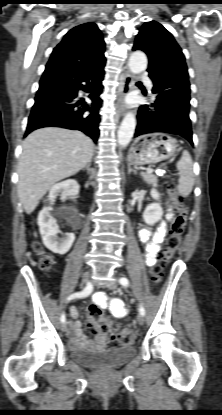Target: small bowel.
<instances>
[{
    "label": "small bowel",
    "mask_w": 222,
    "mask_h": 415,
    "mask_svg": "<svg viewBox=\"0 0 222 415\" xmlns=\"http://www.w3.org/2000/svg\"><path fill=\"white\" fill-rule=\"evenodd\" d=\"M167 219L173 218L172 204L167 201ZM166 236V223H160L156 232H152L148 227H143L139 232L141 242L145 244V260L148 265H152L156 261V256L159 252L160 244ZM93 301L101 308H108L110 313L115 318H124L128 315V309L123 301L117 298H110L104 292H97L93 295ZM72 316V336L71 345L74 347H83L87 349H104L107 342V337L104 334H98L94 340H88L82 332V324L78 320L77 310L73 307L71 309Z\"/></svg>",
    "instance_id": "obj_1"
}]
</instances>
